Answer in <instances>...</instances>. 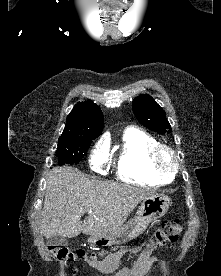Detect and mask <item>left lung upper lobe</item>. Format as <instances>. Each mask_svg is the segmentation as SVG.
<instances>
[{
    "mask_svg": "<svg viewBox=\"0 0 221 276\" xmlns=\"http://www.w3.org/2000/svg\"><path fill=\"white\" fill-rule=\"evenodd\" d=\"M133 112L138 121L151 131L170 133V124L165 111L148 94L136 97L132 103Z\"/></svg>",
    "mask_w": 221,
    "mask_h": 276,
    "instance_id": "1",
    "label": "left lung upper lobe"
}]
</instances>
